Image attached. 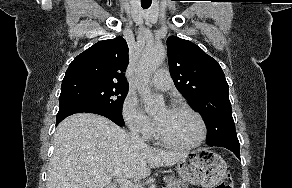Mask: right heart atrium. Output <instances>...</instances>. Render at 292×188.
Listing matches in <instances>:
<instances>
[{
  "label": "right heart atrium",
  "instance_id": "d8ad5b80",
  "mask_svg": "<svg viewBox=\"0 0 292 188\" xmlns=\"http://www.w3.org/2000/svg\"><path fill=\"white\" fill-rule=\"evenodd\" d=\"M122 115L128 128L135 134L148 138L154 131L152 120L140 109L137 100L128 95L123 103Z\"/></svg>",
  "mask_w": 292,
  "mask_h": 188
}]
</instances>
